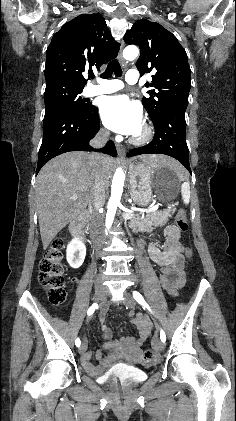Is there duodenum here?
<instances>
[{
    "label": "duodenum",
    "mask_w": 236,
    "mask_h": 421,
    "mask_svg": "<svg viewBox=\"0 0 236 421\" xmlns=\"http://www.w3.org/2000/svg\"><path fill=\"white\" fill-rule=\"evenodd\" d=\"M88 213L81 212L70 224L69 229L72 237L77 243H85V235L83 228L87 222ZM149 258L161 267L163 286L173 293L174 289L180 287L183 283V261L179 254V250L174 243H170L164 250H158L155 247L148 249ZM141 340L135 342L138 345ZM107 348H115L113 343L107 344ZM117 357L115 352H112L107 358L101 360L99 366H94L89 362L90 356L85 354L83 357V366L91 375L98 376L104 372L107 366Z\"/></svg>",
    "instance_id": "duodenum-1"
}]
</instances>
